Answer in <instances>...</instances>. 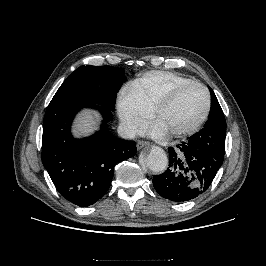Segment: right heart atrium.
Wrapping results in <instances>:
<instances>
[{
    "instance_id": "obj_1",
    "label": "right heart atrium",
    "mask_w": 266,
    "mask_h": 266,
    "mask_svg": "<svg viewBox=\"0 0 266 266\" xmlns=\"http://www.w3.org/2000/svg\"><path fill=\"white\" fill-rule=\"evenodd\" d=\"M117 112L121 126L129 136L136 135L152 118V111L128 87L118 96Z\"/></svg>"
}]
</instances>
